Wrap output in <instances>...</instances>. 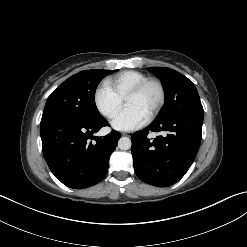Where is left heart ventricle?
Masks as SVG:
<instances>
[{
  "label": "left heart ventricle",
  "instance_id": "b2bd125f",
  "mask_svg": "<svg viewBox=\"0 0 247 247\" xmlns=\"http://www.w3.org/2000/svg\"><path fill=\"white\" fill-rule=\"evenodd\" d=\"M159 98L158 89L151 85L147 87L141 94L130 97L125 101L126 107H136L143 111L147 116L150 114Z\"/></svg>",
  "mask_w": 247,
  "mask_h": 247
}]
</instances>
